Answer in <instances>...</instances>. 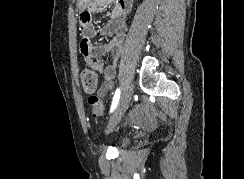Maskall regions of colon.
I'll return each instance as SVG.
<instances>
[{
  "label": "colon",
  "instance_id": "1",
  "mask_svg": "<svg viewBox=\"0 0 244 179\" xmlns=\"http://www.w3.org/2000/svg\"><path fill=\"white\" fill-rule=\"evenodd\" d=\"M80 78L84 91L89 94L88 106L94 117H101L105 112V103L102 98L94 95V92L98 86V75L95 71L89 67H84L81 70ZM92 95V96H91ZM147 106L146 102L142 103L141 109L145 110Z\"/></svg>",
  "mask_w": 244,
  "mask_h": 179
}]
</instances>
